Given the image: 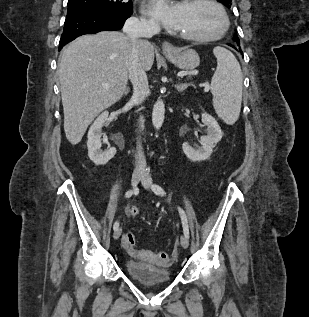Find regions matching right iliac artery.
Returning <instances> with one entry per match:
<instances>
[{
  "label": "right iliac artery",
  "mask_w": 309,
  "mask_h": 317,
  "mask_svg": "<svg viewBox=\"0 0 309 317\" xmlns=\"http://www.w3.org/2000/svg\"><path fill=\"white\" fill-rule=\"evenodd\" d=\"M132 195H133V190H128V191L126 192V194H125V197H126V198H130ZM118 227H119V222L116 221V222L114 223V225H113V229H114V230H117Z\"/></svg>",
  "instance_id": "right-iliac-artery-1"
}]
</instances>
